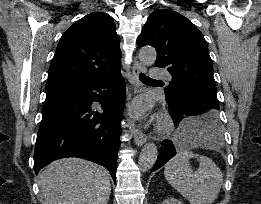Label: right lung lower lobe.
Instances as JSON below:
<instances>
[{
  "mask_svg": "<svg viewBox=\"0 0 261 204\" xmlns=\"http://www.w3.org/2000/svg\"><path fill=\"white\" fill-rule=\"evenodd\" d=\"M124 84L119 69L46 94L34 152L36 174L56 159L79 157L106 167L115 181ZM93 102L104 112L94 111Z\"/></svg>",
  "mask_w": 261,
  "mask_h": 204,
  "instance_id": "1",
  "label": "right lung lower lobe"
}]
</instances>
